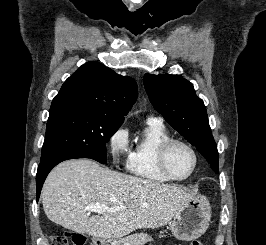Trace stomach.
Wrapping results in <instances>:
<instances>
[{"mask_svg": "<svg viewBox=\"0 0 266 245\" xmlns=\"http://www.w3.org/2000/svg\"><path fill=\"white\" fill-rule=\"evenodd\" d=\"M211 219V207L203 195L193 197L171 221V233L179 241H193L206 233Z\"/></svg>", "mask_w": 266, "mask_h": 245, "instance_id": "obj_1", "label": "stomach"}]
</instances>
